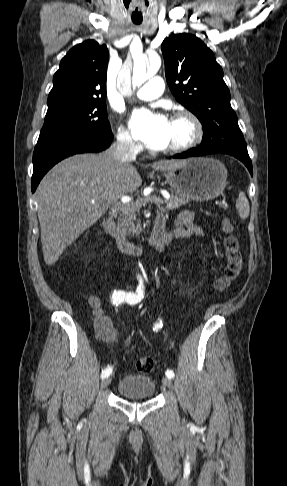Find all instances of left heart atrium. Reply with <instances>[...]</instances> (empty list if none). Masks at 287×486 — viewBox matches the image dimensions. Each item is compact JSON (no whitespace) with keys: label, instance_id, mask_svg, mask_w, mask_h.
<instances>
[{"label":"left heart atrium","instance_id":"left-heart-atrium-1","mask_svg":"<svg viewBox=\"0 0 287 486\" xmlns=\"http://www.w3.org/2000/svg\"><path fill=\"white\" fill-rule=\"evenodd\" d=\"M129 126L135 138L148 148L160 150L167 147L170 120L165 115L137 109L131 115Z\"/></svg>","mask_w":287,"mask_h":486}]
</instances>
